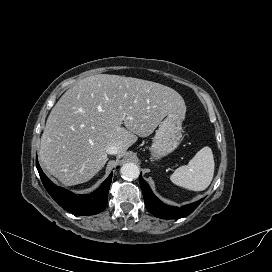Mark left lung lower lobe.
<instances>
[{
  "mask_svg": "<svg viewBox=\"0 0 272 272\" xmlns=\"http://www.w3.org/2000/svg\"><path fill=\"white\" fill-rule=\"evenodd\" d=\"M140 186L143 192L145 206L154 216L162 219H179L191 214L201 203L197 201L180 208L172 207L161 202L152 192L149 185L142 178L139 177Z\"/></svg>",
  "mask_w": 272,
  "mask_h": 272,
  "instance_id": "obj_1",
  "label": "left lung lower lobe"
}]
</instances>
